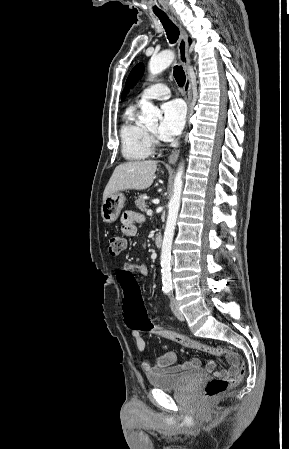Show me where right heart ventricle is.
Listing matches in <instances>:
<instances>
[{
    "label": "right heart ventricle",
    "mask_w": 289,
    "mask_h": 449,
    "mask_svg": "<svg viewBox=\"0 0 289 449\" xmlns=\"http://www.w3.org/2000/svg\"><path fill=\"white\" fill-rule=\"evenodd\" d=\"M122 154L129 160H142L152 154V140L147 129L136 119L135 107L129 108L120 129Z\"/></svg>",
    "instance_id": "right-heart-ventricle-1"
}]
</instances>
